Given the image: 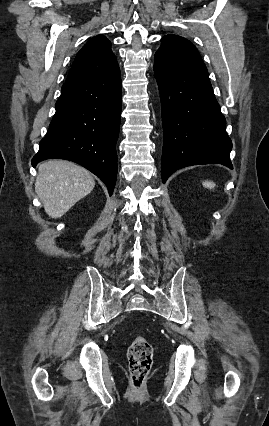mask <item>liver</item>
<instances>
[{"mask_svg":"<svg viewBox=\"0 0 269 426\" xmlns=\"http://www.w3.org/2000/svg\"><path fill=\"white\" fill-rule=\"evenodd\" d=\"M92 174L65 160H50L38 166L35 191L51 218L62 217L94 188Z\"/></svg>","mask_w":269,"mask_h":426,"instance_id":"1","label":"liver"}]
</instances>
